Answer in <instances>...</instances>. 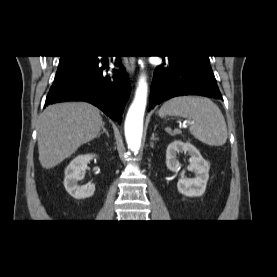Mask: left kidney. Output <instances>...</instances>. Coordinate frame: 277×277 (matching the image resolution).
<instances>
[{"instance_id": "obj_1", "label": "left kidney", "mask_w": 277, "mask_h": 277, "mask_svg": "<svg viewBox=\"0 0 277 277\" xmlns=\"http://www.w3.org/2000/svg\"><path fill=\"white\" fill-rule=\"evenodd\" d=\"M181 152H187L190 155L187 169L194 172L195 177L185 178L184 171H182L177 183L178 191L188 197L202 196L209 179L210 166L195 146L175 140L168 145L166 150V166L170 171L177 172L181 168L177 159V155Z\"/></svg>"}]
</instances>
